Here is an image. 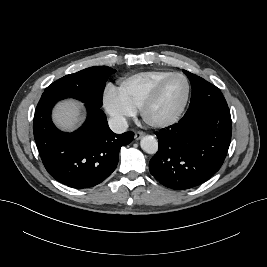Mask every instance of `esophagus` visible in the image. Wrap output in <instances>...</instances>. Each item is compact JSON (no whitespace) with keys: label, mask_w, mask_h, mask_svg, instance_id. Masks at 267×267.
I'll return each instance as SVG.
<instances>
[{"label":"esophagus","mask_w":267,"mask_h":267,"mask_svg":"<svg viewBox=\"0 0 267 267\" xmlns=\"http://www.w3.org/2000/svg\"><path fill=\"white\" fill-rule=\"evenodd\" d=\"M145 135V133L143 132V131H137L136 133H135V139L136 140H139V139H141L143 136Z\"/></svg>","instance_id":"esophagus-1"}]
</instances>
